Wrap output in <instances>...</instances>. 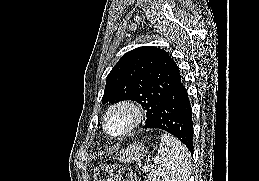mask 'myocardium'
Masks as SVG:
<instances>
[{"mask_svg": "<svg viewBox=\"0 0 259 181\" xmlns=\"http://www.w3.org/2000/svg\"><path fill=\"white\" fill-rule=\"evenodd\" d=\"M118 111H125L129 115L126 127L119 132H111L109 129V118ZM143 120L141 107L133 100L123 99L111 104L103 115L102 125L104 131L111 137L119 138L131 133Z\"/></svg>", "mask_w": 259, "mask_h": 181, "instance_id": "f54148a6", "label": "myocardium"}]
</instances>
